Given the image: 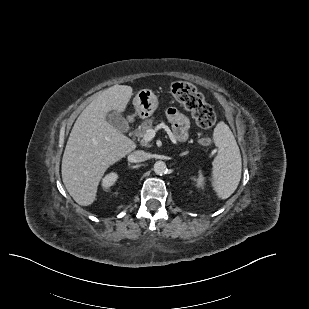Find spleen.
Listing matches in <instances>:
<instances>
[{"label":"spleen","mask_w":309,"mask_h":309,"mask_svg":"<svg viewBox=\"0 0 309 309\" xmlns=\"http://www.w3.org/2000/svg\"><path fill=\"white\" fill-rule=\"evenodd\" d=\"M218 154L213 161L212 186L220 199L229 198L237 189L242 170L241 154L229 126L216 125L213 134Z\"/></svg>","instance_id":"spleen-1"}]
</instances>
